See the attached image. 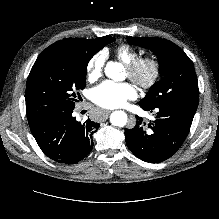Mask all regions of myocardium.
Instances as JSON below:
<instances>
[{"label": "myocardium", "mask_w": 219, "mask_h": 219, "mask_svg": "<svg viewBox=\"0 0 219 219\" xmlns=\"http://www.w3.org/2000/svg\"><path fill=\"white\" fill-rule=\"evenodd\" d=\"M127 75L139 88L148 90L158 82L162 67L160 61L151 55L141 56L126 66ZM147 73V74H145Z\"/></svg>", "instance_id": "myocardium-1"}]
</instances>
